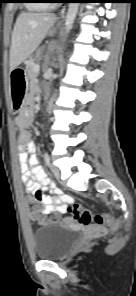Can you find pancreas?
Masks as SVG:
<instances>
[{
  "label": "pancreas",
  "mask_w": 136,
  "mask_h": 296,
  "mask_svg": "<svg viewBox=\"0 0 136 296\" xmlns=\"http://www.w3.org/2000/svg\"><path fill=\"white\" fill-rule=\"evenodd\" d=\"M41 54H42V50H38L36 52V56L35 58H30L28 61H27V64H26V73L28 75V77H35L37 74L36 72L34 71V67L37 65L36 61L38 59H40L41 57Z\"/></svg>",
  "instance_id": "1"
}]
</instances>
